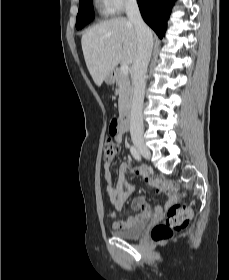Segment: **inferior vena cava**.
I'll list each match as a JSON object with an SVG mask.
<instances>
[{
	"mask_svg": "<svg viewBox=\"0 0 229 280\" xmlns=\"http://www.w3.org/2000/svg\"><path fill=\"white\" fill-rule=\"evenodd\" d=\"M128 20L133 23L138 36V48L133 62V100L131 107V136L143 135V101L145 93L146 72L150 61L153 36L150 28L144 23L136 0H128L126 4Z\"/></svg>",
	"mask_w": 229,
	"mask_h": 280,
	"instance_id": "1",
	"label": "inferior vena cava"
}]
</instances>
